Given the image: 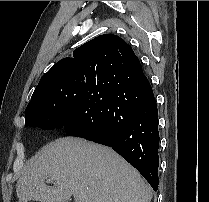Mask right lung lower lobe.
Instances as JSON below:
<instances>
[{"label": "right lung lower lobe", "mask_w": 209, "mask_h": 202, "mask_svg": "<svg viewBox=\"0 0 209 202\" xmlns=\"http://www.w3.org/2000/svg\"><path fill=\"white\" fill-rule=\"evenodd\" d=\"M71 136L112 147L157 191L158 110L137 59L110 69L89 88L77 114L63 125Z\"/></svg>", "instance_id": "right-lung-lower-lobe-1"}]
</instances>
